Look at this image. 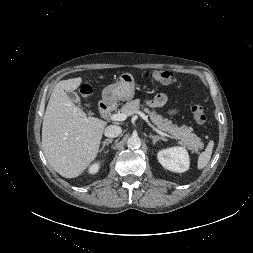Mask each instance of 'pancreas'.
I'll return each mask as SVG.
<instances>
[{
  "label": "pancreas",
  "instance_id": "cf45deb5",
  "mask_svg": "<svg viewBox=\"0 0 253 253\" xmlns=\"http://www.w3.org/2000/svg\"><path fill=\"white\" fill-rule=\"evenodd\" d=\"M142 106L143 105H140V100L135 99L127 102L120 109V111L130 116L139 111L140 107ZM145 112L150 115L152 122L159 130L168 133L172 138L179 140V143L191 150L192 153L198 152V150L201 148V139L197 137L196 134L192 133V127H187L184 125L179 127L167 118H163L161 115H158L155 112H151L148 108H145Z\"/></svg>",
  "mask_w": 253,
  "mask_h": 253
}]
</instances>
